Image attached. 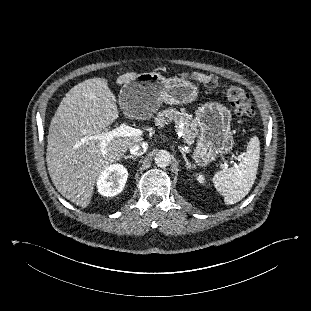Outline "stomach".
I'll return each mask as SVG.
<instances>
[{"instance_id":"1","label":"stomach","mask_w":311,"mask_h":311,"mask_svg":"<svg viewBox=\"0 0 311 311\" xmlns=\"http://www.w3.org/2000/svg\"><path fill=\"white\" fill-rule=\"evenodd\" d=\"M198 96V87L180 78L166 79L159 73H141L125 83L119 93V105L124 113L137 119H149L164 102L169 105L187 104ZM231 111L223 104L212 102L196 112L200 127L193 158L199 166H207L234 146L231 131Z\"/></svg>"}]
</instances>
